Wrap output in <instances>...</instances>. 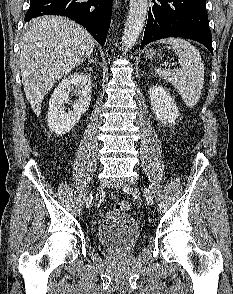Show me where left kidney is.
Instances as JSON below:
<instances>
[{"label": "left kidney", "instance_id": "obj_1", "mask_svg": "<svg viewBox=\"0 0 233 294\" xmlns=\"http://www.w3.org/2000/svg\"><path fill=\"white\" fill-rule=\"evenodd\" d=\"M153 113L157 119L167 124H174L179 116V111L174 99L160 85H155L149 90Z\"/></svg>", "mask_w": 233, "mask_h": 294}]
</instances>
